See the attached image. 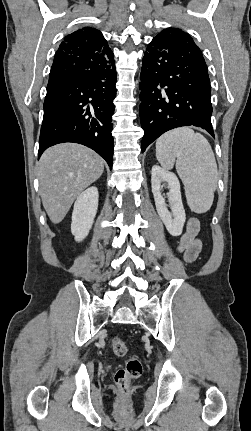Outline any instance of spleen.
<instances>
[{
  "label": "spleen",
  "mask_w": 251,
  "mask_h": 431,
  "mask_svg": "<svg viewBox=\"0 0 251 431\" xmlns=\"http://www.w3.org/2000/svg\"><path fill=\"white\" fill-rule=\"evenodd\" d=\"M156 157L164 169L176 170L181 178L190 209L207 212L217 187V164L211 145L189 127L166 132L156 141Z\"/></svg>",
  "instance_id": "spleen-1"
}]
</instances>
